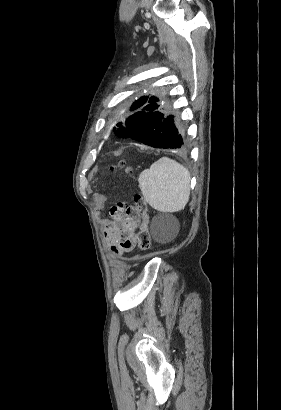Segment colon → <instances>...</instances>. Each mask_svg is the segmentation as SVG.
Masks as SVG:
<instances>
[{
  "instance_id": "colon-1",
  "label": "colon",
  "mask_w": 281,
  "mask_h": 410,
  "mask_svg": "<svg viewBox=\"0 0 281 410\" xmlns=\"http://www.w3.org/2000/svg\"><path fill=\"white\" fill-rule=\"evenodd\" d=\"M112 169L114 170L116 167ZM126 170L129 173L132 172L130 166H127ZM134 211L138 212L143 220L138 234V247L141 251H148L151 248V236L148 229L149 216L146 199L142 195L137 194L134 197V207L118 203L111 208L110 212L112 216H130Z\"/></svg>"
}]
</instances>
